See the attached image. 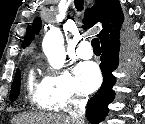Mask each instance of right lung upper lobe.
<instances>
[{
    "instance_id": "1",
    "label": "right lung upper lobe",
    "mask_w": 145,
    "mask_h": 124,
    "mask_svg": "<svg viewBox=\"0 0 145 124\" xmlns=\"http://www.w3.org/2000/svg\"><path fill=\"white\" fill-rule=\"evenodd\" d=\"M98 22L103 27L102 31L97 35L100 41L120 30L123 22V13L118 0H96L92 8L86 9L83 28H90ZM40 27V19H35L33 26L27 27L26 36L22 43L23 48L31 43L34 33H37Z\"/></svg>"
}]
</instances>
